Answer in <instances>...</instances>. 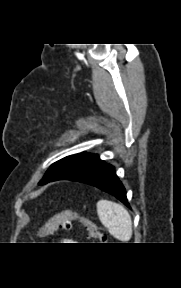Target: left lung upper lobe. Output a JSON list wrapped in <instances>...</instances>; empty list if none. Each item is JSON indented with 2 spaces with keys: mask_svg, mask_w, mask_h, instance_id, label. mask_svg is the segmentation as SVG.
Segmentation results:
<instances>
[{
  "mask_svg": "<svg viewBox=\"0 0 181 288\" xmlns=\"http://www.w3.org/2000/svg\"><path fill=\"white\" fill-rule=\"evenodd\" d=\"M105 162L97 154L79 153L54 163L46 172L40 185L56 180L79 181L103 166Z\"/></svg>",
  "mask_w": 181,
  "mask_h": 288,
  "instance_id": "obj_1",
  "label": "left lung upper lobe"
}]
</instances>
